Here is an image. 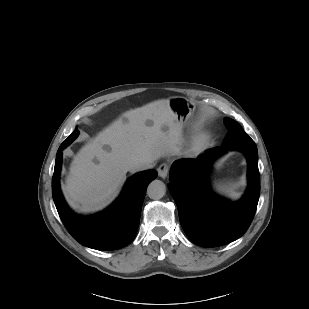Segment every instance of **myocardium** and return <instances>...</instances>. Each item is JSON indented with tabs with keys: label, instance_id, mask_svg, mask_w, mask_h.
<instances>
[{
	"label": "myocardium",
	"instance_id": "1",
	"mask_svg": "<svg viewBox=\"0 0 309 309\" xmlns=\"http://www.w3.org/2000/svg\"><path fill=\"white\" fill-rule=\"evenodd\" d=\"M203 141H204V137H203V136H198V137L195 139L194 147H195V148L200 147V146L203 144Z\"/></svg>",
	"mask_w": 309,
	"mask_h": 309
}]
</instances>
